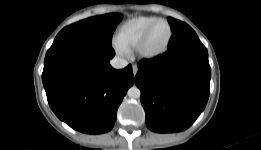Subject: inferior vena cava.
<instances>
[{"instance_id": "1", "label": "inferior vena cava", "mask_w": 261, "mask_h": 150, "mask_svg": "<svg viewBox=\"0 0 261 150\" xmlns=\"http://www.w3.org/2000/svg\"><path fill=\"white\" fill-rule=\"evenodd\" d=\"M110 64L113 68L115 69H122L125 68L128 65V62L120 57H114L111 61Z\"/></svg>"}]
</instances>
